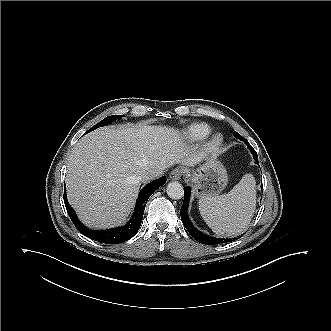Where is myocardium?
Segmentation results:
<instances>
[{"label":"myocardium","instance_id":"myocardium-1","mask_svg":"<svg viewBox=\"0 0 331 331\" xmlns=\"http://www.w3.org/2000/svg\"><path fill=\"white\" fill-rule=\"evenodd\" d=\"M223 143V138L220 134L212 135L204 144V151L208 153L216 152L219 150Z\"/></svg>","mask_w":331,"mask_h":331}]
</instances>
